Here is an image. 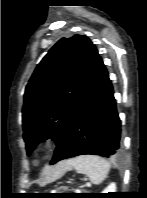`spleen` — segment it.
Masks as SVG:
<instances>
[{
    "label": "spleen",
    "mask_w": 147,
    "mask_h": 198,
    "mask_svg": "<svg viewBox=\"0 0 147 198\" xmlns=\"http://www.w3.org/2000/svg\"><path fill=\"white\" fill-rule=\"evenodd\" d=\"M71 166L79 174L87 175L95 185L102 183L110 170V163L96 155H82L71 160Z\"/></svg>",
    "instance_id": "3e777b00"
}]
</instances>
